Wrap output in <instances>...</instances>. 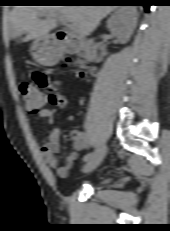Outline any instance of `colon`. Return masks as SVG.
I'll return each mask as SVG.
<instances>
[{
	"label": "colon",
	"mask_w": 170,
	"mask_h": 231,
	"mask_svg": "<svg viewBox=\"0 0 170 231\" xmlns=\"http://www.w3.org/2000/svg\"><path fill=\"white\" fill-rule=\"evenodd\" d=\"M83 64H79V68H83ZM79 74L84 77L85 73L80 70ZM20 93L24 100L26 109L31 114H37L43 108L45 99L41 90L31 82H23L20 85Z\"/></svg>",
	"instance_id": "1"
}]
</instances>
